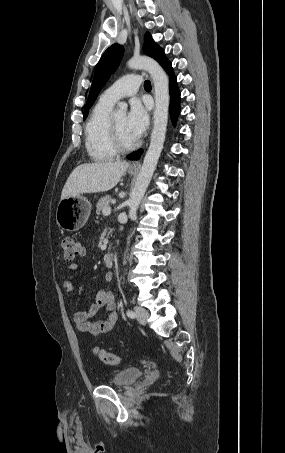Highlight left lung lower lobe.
I'll use <instances>...</instances> for the list:
<instances>
[{
  "label": "left lung lower lobe",
  "instance_id": "left-lung-lower-lobe-1",
  "mask_svg": "<svg viewBox=\"0 0 285 453\" xmlns=\"http://www.w3.org/2000/svg\"><path fill=\"white\" fill-rule=\"evenodd\" d=\"M158 62L170 74V92H171L170 114L173 121H175L180 111L179 105L180 93L177 87L176 77L172 72L171 62L165 57L164 54L160 57ZM142 152H143L142 149L138 150L134 153L129 154L127 158L130 160H137L140 158Z\"/></svg>",
  "mask_w": 285,
  "mask_h": 453
}]
</instances>
